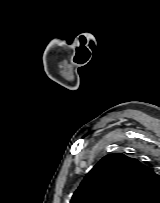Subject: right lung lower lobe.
I'll use <instances>...</instances> for the list:
<instances>
[{"label": "right lung lower lobe", "instance_id": "98d812e1", "mask_svg": "<svg viewBox=\"0 0 160 203\" xmlns=\"http://www.w3.org/2000/svg\"><path fill=\"white\" fill-rule=\"evenodd\" d=\"M150 203H160V196L153 202H150Z\"/></svg>", "mask_w": 160, "mask_h": 203}]
</instances>
